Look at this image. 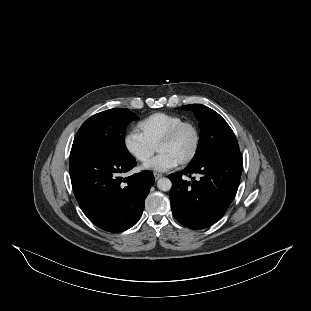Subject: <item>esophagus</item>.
Returning <instances> with one entry per match:
<instances>
[{
  "instance_id": "34e87169",
  "label": "esophagus",
  "mask_w": 311,
  "mask_h": 311,
  "mask_svg": "<svg viewBox=\"0 0 311 311\" xmlns=\"http://www.w3.org/2000/svg\"><path fill=\"white\" fill-rule=\"evenodd\" d=\"M154 177H155V180H158L159 178L162 177V174L154 172Z\"/></svg>"
}]
</instances>
